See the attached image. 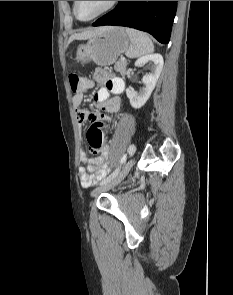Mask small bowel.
<instances>
[{
	"mask_svg": "<svg viewBox=\"0 0 233 295\" xmlns=\"http://www.w3.org/2000/svg\"><path fill=\"white\" fill-rule=\"evenodd\" d=\"M95 79L98 83L104 84L98 94L95 96V104L105 113H115L120 109L121 101L117 96L124 91L125 84L121 78L111 77L104 70H97ZM109 94L116 96L109 97ZM84 96L83 93H77L73 97V103L76 107L75 114L77 121L82 124L90 121L92 126L99 128L107 127L110 124V118L106 114L90 113L87 109L81 107ZM80 161L85 165L79 168V179L84 187H89L103 179L109 172L107 167V147L103 148L101 156L88 160L82 152Z\"/></svg>",
	"mask_w": 233,
	"mask_h": 295,
	"instance_id": "c3829d8e",
	"label": "small bowel"
}]
</instances>
